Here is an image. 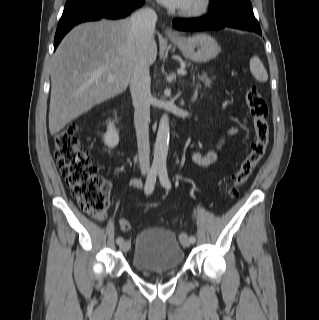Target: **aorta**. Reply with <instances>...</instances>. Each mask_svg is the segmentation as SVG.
<instances>
[{"mask_svg":"<svg viewBox=\"0 0 319 320\" xmlns=\"http://www.w3.org/2000/svg\"><path fill=\"white\" fill-rule=\"evenodd\" d=\"M169 118L164 114L159 123L156 142L154 146L153 164L157 167H165L169 147Z\"/></svg>","mask_w":319,"mask_h":320,"instance_id":"1","label":"aorta"}]
</instances>
